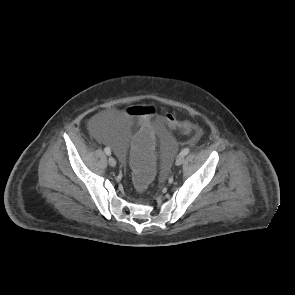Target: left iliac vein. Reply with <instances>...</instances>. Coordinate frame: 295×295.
<instances>
[{"label": "left iliac vein", "mask_w": 295, "mask_h": 295, "mask_svg": "<svg viewBox=\"0 0 295 295\" xmlns=\"http://www.w3.org/2000/svg\"><path fill=\"white\" fill-rule=\"evenodd\" d=\"M183 162H184V156H178L175 163L177 166H179L183 164Z\"/></svg>", "instance_id": "1"}]
</instances>
